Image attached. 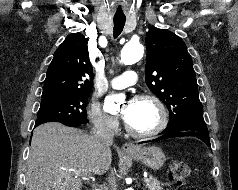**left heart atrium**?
Instances as JSON below:
<instances>
[{"label": "left heart atrium", "mask_w": 238, "mask_h": 190, "mask_svg": "<svg viewBox=\"0 0 238 190\" xmlns=\"http://www.w3.org/2000/svg\"><path fill=\"white\" fill-rule=\"evenodd\" d=\"M133 102H134V101H129V102L125 105V107H124V109H123V111H122V117H123V119H124L125 121H127V120L129 119V117H130V114H131V111H132V107H133Z\"/></svg>", "instance_id": "39dd6f15"}]
</instances>
